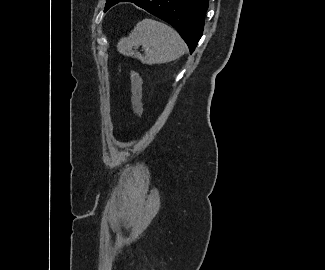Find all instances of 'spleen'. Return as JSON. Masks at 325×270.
Segmentation results:
<instances>
[{
    "label": "spleen",
    "instance_id": "obj_1",
    "mask_svg": "<svg viewBox=\"0 0 325 270\" xmlns=\"http://www.w3.org/2000/svg\"><path fill=\"white\" fill-rule=\"evenodd\" d=\"M139 46L144 47V55L136 50ZM117 50L144 64L153 65L178 59L185 53L186 47L172 27L153 19H143L136 24L128 37L119 40Z\"/></svg>",
    "mask_w": 325,
    "mask_h": 270
}]
</instances>
